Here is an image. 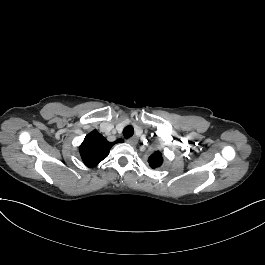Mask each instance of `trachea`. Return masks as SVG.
<instances>
[{"label": "trachea", "instance_id": "3493384b", "mask_svg": "<svg viewBox=\"0 0 265 265\" xmlns=\"http://www.w3.org/2000/svg\"><path fill=\"white\" fill-rule=\"evenodd\" d=\"M134 134V129L132 126L128 125L124 128L123 130V136L127 139L130 138L131 136H133Z\"/></svg>", "mask_w": 265, "mask_h": 265}]
</instances>
